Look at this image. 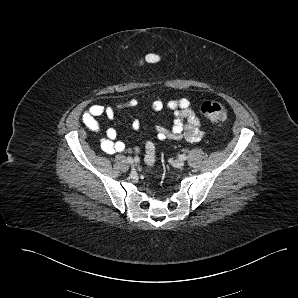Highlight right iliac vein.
Instances as JSON below:
<instances>
[{"instance_id":"63e3f726","label":"right iliac vein","mask_w":298,"mask_h":298,"mask_svg":"<svg viewBox=\"0 0 298 298\" xmlns=\"http://www.w3.org/2000/svg\"><path fill=\"white\" fill-rule=\"evenodd\" d=\"M126 160H127V163H129V164H133L134 163V160L131 157H128Z\"/></svg>"}]
</instances>
